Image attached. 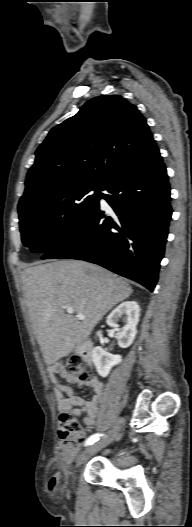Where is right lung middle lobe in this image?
<instances>
[{
  "instance_id": "1",
  "label": "right lung middle lobe",
  "mask_w": 192,
  "mask_h": 527,
  "mask_svg": "<svg viewBox=\"0 0 192 527\" xmlns=\"http://www.w3.org/2000/svg\"><path fill=\"white\" fill-rule=\"evenodd\" d=\"M103 185L81 184L51 197L18 206L22 242L47 252L76 230L98 203ZM92 190L96 192L90 194Z\"/></svg>"
}]
</instances>
